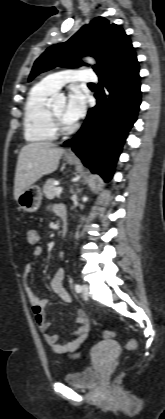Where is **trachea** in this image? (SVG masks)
Instances as JSON below:
<instances>
[{"label":"trachea","instance_id":"1","mask_svg":"<svg viewBox=\"0 0 165 419\" xmlns=\"http://www.w3.org/2000/svg\"><path fill=\"white\" fill-rule=\"evenodd\" d=\"M89 85H94V83H89Z\"/></svg>","mask_w":165,"mask_h":419}]
</instances>
